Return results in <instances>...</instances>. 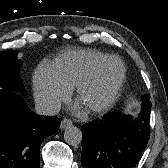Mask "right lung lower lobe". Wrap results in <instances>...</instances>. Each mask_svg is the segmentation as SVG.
I'll return each instance as SVG.
<instances>
[{
    "instance_id": "obj_1",
    "label": "right lung lower lobe",
    "mask_w": 168,
    "mask_h": 168,
    "mask_svg": "<svg viewBox=\"0 0 168 168\" xmlns=\"http://www.w3.org/2000/svg\"><path fill=\"white\" fill-rule=\"evenodd\" d=\"M57 117L35 115L24 99L0 91V168H39L40 146L57 132Z\"/></svg>"
}]
</instances>
